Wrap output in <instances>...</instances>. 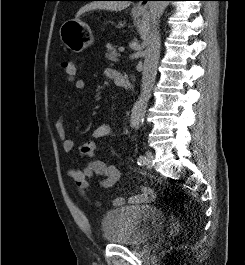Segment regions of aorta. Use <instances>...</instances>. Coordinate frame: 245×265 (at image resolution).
<instances>
[{
  "mask_svg": "<svg viewBox=\"0 0 245 265\" xmlns=\"http://www.w3.org/2000/svg\"><path fill=\"white\" fill-rule=\"evenodd\" d=\"M168 3V1H150L148 4V46L145 50L141 93L137 101L134 103L130 117V125L135 129H138L143 121L147 104L155 83L161 46L159 22Z\"/></svg>",
  "mask_w": 245,
  "mask_h": 265,
  "instance_id": "aorta-1",
  "label": "aorta"
}]
</instances>
